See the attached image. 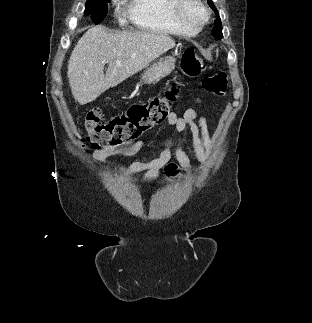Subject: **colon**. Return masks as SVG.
<instances>
[{"mask_svg":"<svg viewBox=\"0 0 312 323\" xmlns=\"http://www.w3.org/2000/svg\"><path fill=\"white\" fill-rule=\"evenodd\" d=\"M181 77H196L204 69V62L195 49L190 47L181 53ZM184 84L177 79L163 96H155L149 101L137 103L130 107L126 114L116 116L103 122L104 111L101 107H93L85 116V135L93 148L117 146L124 142L140 138L148 130L162 122L169 114V101H174L179 87ZM203 88L217 97L226 96L227 79L225 73L216 72L204 78ZM174 165V162H171ZM163 170L168 177L176 176V167L165 165ZM180 170V167H177Z\"/></svg>","mask_w":312,"mask_h":323,"instance_id":"5ec220e1","label":"colon"}]
</instances>
